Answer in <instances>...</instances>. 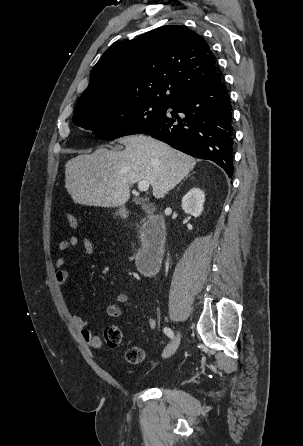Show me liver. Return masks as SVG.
I'll return each instance as SVG.
<instances>
[{"label":"liver","mask_w":303,"mask_h":446,"mask_svg":"<svg viewBox=\"0 0 303 446\" xmlns=\"http://www.w3.org/2000/svg\"><path fill=\"white\" fill-rule=\"evenodd\" d=\"M122 151L100 147L65 164V188L75 203L118 207L130 197V185L148 181L157 199L173 189L196 161L169 145L145 135L120 138Z\"/></svg>","instance_id":"6515ba94"}]
</instances>
